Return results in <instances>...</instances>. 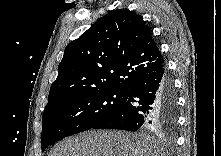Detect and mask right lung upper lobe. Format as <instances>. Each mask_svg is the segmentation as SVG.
<instances>
[{
    "mask_svg": "<svg viewBox=\"0 0 221 156\" xmlns=\"http://www.w3.org/2000/svg\"><path fill=\"white\" fill-rule=\"evenodd\" d=\"M163 66L142 17L128 9L110 11L67 45L45 109L79 93L127 91Z\"/></svg>",
    "mask_w": 221,
    "mask_h": 156,
    "instance_id": "cb5924a9",
    "label": "right lung upper lobe"
}]
</instances>
